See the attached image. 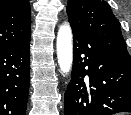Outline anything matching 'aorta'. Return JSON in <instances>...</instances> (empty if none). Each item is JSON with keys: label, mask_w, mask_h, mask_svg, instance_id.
<instances>
[{"label": "aorta", "mask_w": 131, "mask_h": 115, "mask_svg": "<svg viewBox=\"0 0 131 115\" xmlns=\"http://www.w3.org/2000/svg\"><path fill=\"white\" fill-rule=\"evenodd\" d=\"M57 59L63 74H68L73 61L72 30L68 24L60 26L57 33Z\"/></svg>", "instance_id": "1"}]
</instances>
